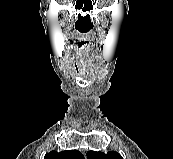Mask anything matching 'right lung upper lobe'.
I'll return each instance as SVG.
<instances>
[{
    "label": "right lung upper lobe",
    "instance_id": "1",
    "mask_svg": "<svg viewBox=\"0 0 173 159\" xmlns=\"http://www.w3.org/2000/svg\"><path fill=\"white\" fill-rule=\"evenodd\" d=\"M44 159H84V156L77 150L63 151L59 153L57 151H51L45 155Z\"/></svg>",
    "mask_w": 173,
    "mask_h": 159
}]
</instances>
